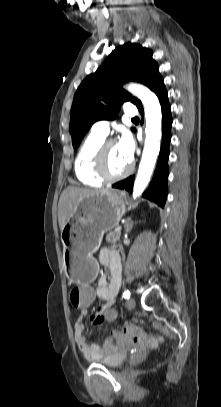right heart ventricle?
Instances as JSON below:
<instances>
[{"instance_id": "obj_1", "label": "right heart ventricle", "mask_w": 221, "mask_h": 407, "mask_svg": "<svg viewBox=\"0 0 221 407\" xmlns=\"http://www.w3.org/2000/svg\"><path fill=\"white\" fill-rule=\"evenodd\" d=\"M106 136L91 132L81 144L74 163L78 180L87 186L97 187L103 183L94 172V158Z\"/></svg>"}]
</instances>
